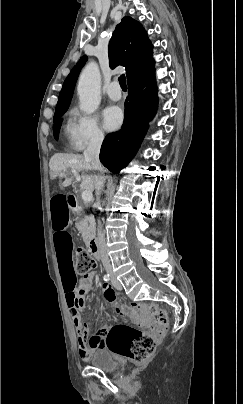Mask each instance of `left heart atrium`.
Instances as JSON below:
<instances>
[{
    "label": "left heart atrium",
    "instance_id": "obj_1",
    "mask_svg": "<svg viewBox=\"0 0 243 404\" xmlns=\"http://www.w3.org/2000/svg\"><path fill=\"white\" fill-rule=\"evenodd\" d=\"M123 121L122 110L115 105L106 107L102 112V126L106 131H113L120 127Z\"/></svg>",
    "mask_w": 243,
    "mask_h": 404
}]
</instances>
